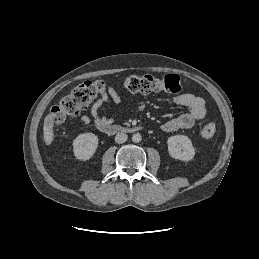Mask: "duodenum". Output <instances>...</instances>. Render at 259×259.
I'll return each mask as SVG.
<instances>
[{"label": "duodenum", "instance_id": "obj_1", "mask_svg": "<svg viewBox=\"0 0 259 259\" xmlns=\"http://www.w3.org/2000/svg\"><path fill=\"white\" fill-rule=\"evenodd\" d=\"M100 131L107 134L116 133H133L141 130V127H123L118 125H101L98 128Z\"/></svg>", "mask_w": 259, "mask_h": 259}]
</instances>
